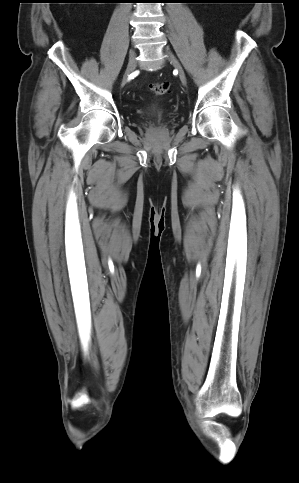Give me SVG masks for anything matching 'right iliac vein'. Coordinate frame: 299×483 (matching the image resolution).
<instances>
[{
    "label": "right iliac vein",
    "instance_id": "obj_1",
    "mask_svg": "<svg viewBox=\"0 0 299 483\" xmlns=\"http://www.w3.org/2000/svg\"><path fill=\"white\" fill-rule=\"evenodd\" d=\"M135 67H136V53L132 49L129 52V60H128L127 69L123 78V83L126 82L128 76L135 70Z\"/></svg>",
    "mask_w": 299,
    "mask_h": 483
}]
</instances>
